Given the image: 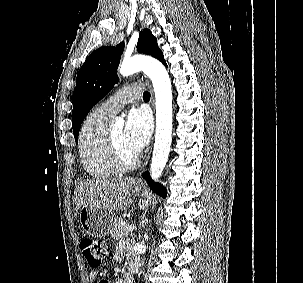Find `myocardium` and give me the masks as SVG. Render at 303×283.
<instances>
[{"instance_id": "myocardium-1", "label": "myocardium", "mask_w": 303, "mask_h": 283, "mask_svg": "<svg viewBox=\"0 0 303 283\" xmlns=\"http://www.w3.org/2000/svg\"><path fill=\"white\" fill-rule=\"evenodd\" d=\"M106 148L109 160L116 171L125 172L137 166L139 162L138 155L135 154L132 159L126 160L121 154L110 129L106 132Z\"/></svg>"}]
</instances>
